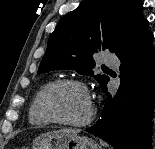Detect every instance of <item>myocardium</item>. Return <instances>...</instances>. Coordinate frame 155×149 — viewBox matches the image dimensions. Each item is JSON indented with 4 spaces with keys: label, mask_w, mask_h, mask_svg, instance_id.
Instances as JSON below:
<instances>
[{
    "label": "myocardium",
    "mask_w": 155,
    "mask_h": 149,
    "mask_svg": "<svg viewBox=\"0 0 155 149\" xmlns=\"http://www.w3.org/2000/svg\"><path fill=\"white\" fill-rule=\"evenodd\" d=\"M62 85H74L79 87L86 95L88 102H89V113L88 115L80 120V121H69V120H65L62 119L61 117H59L51 108L48 102V97L49 94L51 93V91L58 87V86H62ZM40 109L42 111V113L52 122L60 124V125H64V126H71V127H82L85 125H88L89 123H91L95 117V113H96V108L95 105L93 103L90 91L87 87V85L79 79H75V78H60V79H56L53 80L51 82H49L43 89L42 93H41V97H40Z\"/></svg>",
    "instance_id": "obj_1"
}]
</instances>
